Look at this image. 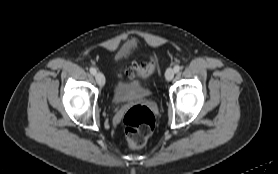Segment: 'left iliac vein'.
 Segmentation results:
<instances>
[{
	"label": "left iliac vein",
	"mask_w": 278,
	"mask_h": 174,
	"mask_svg": "<svg viewBox=\"0 0 278 174\" xmlns=\"http://www.w3.org/2000/svg\"><path fill=\"white\" fill-rule=\"evenodd\" d=\"M174 70L172 68H168L165 73V78L167 81H171L174 77Z\"/></svg>",
	"instance_id": "obj_1"
}]
</instances>
